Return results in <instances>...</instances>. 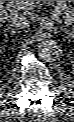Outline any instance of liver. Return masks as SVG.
Segmentation results:
<instances>
[{"instance_id": "obj_1", "label": "liver", "mask_w": 74, "mask_h": 122, "mask_svg": "<svg viewBox=\"0 0 74 122\" xmlns=\"http://www.w3.org/2000/svg\"><path fill=\"white\" fill-rule=\"evenodd\" d=\"M12 14H14V13H11V14H7V13H2V17H1V21H3L4 19H7V18H9Z\"/></svg>"}]
</instances>
